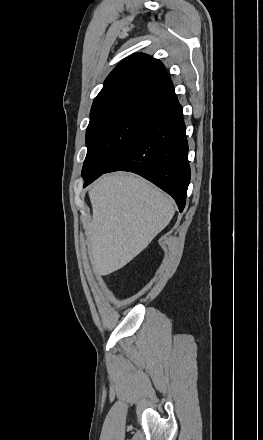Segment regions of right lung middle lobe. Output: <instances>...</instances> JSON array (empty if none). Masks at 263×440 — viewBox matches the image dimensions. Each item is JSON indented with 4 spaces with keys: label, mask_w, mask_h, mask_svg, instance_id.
<instances>
[{
    "label": "right lung middle lobe",
    "mask_w": 263,
    "mask_h": 440,
    "mask_svg": "<svg viewBox=\"0 0 263 440\" xmlns=\"http://www.w3.org/2000/svg\"><path fill=\"white\" fill-rule=\"evenodd\" d=\"M157 106L117 107L90 118L86 131L87 155L82 168L86 181L100 176L113 158L144 128Z\"/></svg>",
    "instance_id": "1"
}]
</instances>
